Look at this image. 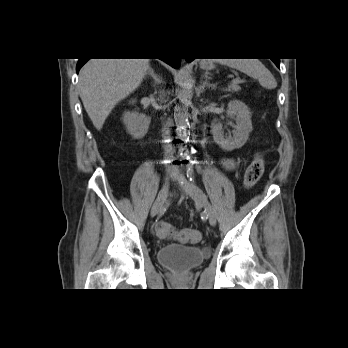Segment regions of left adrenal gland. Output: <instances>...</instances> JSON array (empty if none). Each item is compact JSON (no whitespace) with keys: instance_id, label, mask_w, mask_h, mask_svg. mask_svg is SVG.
I'll use <instances>...</instances> for the list:
<instances>
[{"instance_id":"1","label":"left adrenal gland","mask_w":348,"mask_h":348,"mask_svg":"<svg viewBox=\"0 0 348 348\" xmlns=\"http://www.w3.org/2000/svg\"><path fill=\"white\" fill-rule=\"evenodd\" d=\"M212 88L214 89V85L210 84L209 82V77L205 74V75H202V78H201V81H200V86L198 88V94H201L205 91V88Z\"/></svg>"}]
</instances>
